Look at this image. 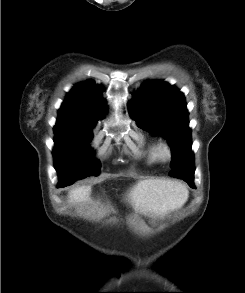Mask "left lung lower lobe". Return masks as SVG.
<instances>
[{
    "mask_svg": "<svg viewBox=\"0 0 245 293\" xmlns=\"http://www.w3.org/2000/svg\"><path fill=\"white\" fill-rule=\"evenodd\" d=\"M181 179H183L184 181H186L191 188H195L194 183H193L194 176L187 175V174H183L181 176Z\"/></svg>",
    "mask_w": 245,
    "mask_h": 293,
    "instance_id": "1",
    "label": "left lung lower lobe"
}]
</instances>
